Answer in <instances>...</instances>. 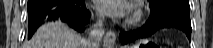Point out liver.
Instances as JSON below:
<instances>
[{
  "instance_id": "6515ba94",
  "label": "liver",
  "mask_w": 213,
  "mask_h": 48,
  "mask_svg": "<svg viewBox=\"0 0 213 48\" xmlns=\"http://www.w3.org/2000/svg\"><path fill=\"white\" fill-rule=\"evenodd\" d=\"M24 48H88L85 39L61 21L38 28Z\"/></svg>"
}]
</instances>
